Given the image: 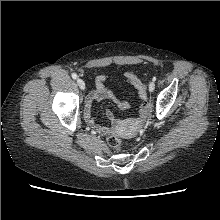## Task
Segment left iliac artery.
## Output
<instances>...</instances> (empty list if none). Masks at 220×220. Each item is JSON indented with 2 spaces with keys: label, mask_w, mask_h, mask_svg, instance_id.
Returning a JSON list of instances; mask_svg holds the SVG:
<instances>
[{
  "label": "left iliac artery",
  "mask_w": 220,
  "mask_h": 220,
  "mask_svg": "<svg viewBox=\"0 0 220 220\" xmlns=\"http://www.w3.org/2000/svg\"><path fill=\"white\" fill-rule=\"evenodd\" d=\"M153 81H156V77H153Z\"/></svg>",
  "instance_id": "44dca946"
}]
</instances>
